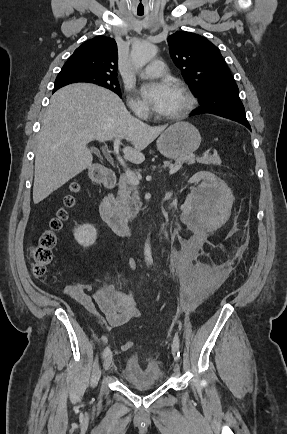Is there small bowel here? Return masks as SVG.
<instances>
[{
  "label": "small bowel",
  "instance_id": "c3829d8e",
  "mask_svg": "<svg viewBox=\"0 0 287 434\" xmlns=\"http://www.w3.org/2000/svg\"><path fill=\"white\" fill-rule=\"evenodd\" d=\"M65 294L107 329L120 327L139 315L135 294L116 290L107 276L92 293L72 282L66 286Z\"/></svg>",
  "mask_w": 287,
  "mask_h": 434
}]
</instances>
